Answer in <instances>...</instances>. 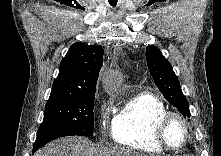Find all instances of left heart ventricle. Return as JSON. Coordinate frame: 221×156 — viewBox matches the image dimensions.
Here are the masks:
<instances>
[{
  "label": "left heart ventricle",
  "mask_w": 221,
  "mask_h": 156,
  "mask_svg": "<svg viewBox=\"0 0 221 156\" xmlns=\"http://www.w3.org/2000/svg\"><path fill=\"white\" fill-rule=\"evenodd\" d=\"M165 137L170 146H181L185 139V129L181 121L176 118L171 119L166 127Z\"/></svg>",
  "instance_id": "left-heart-ventricle-1"
}]
</instances>
